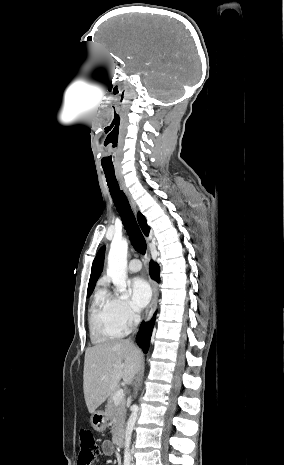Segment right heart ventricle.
<instances>
[{"instance_id": "1", "label": "right heart ventricle", "mask_w": 284, "mask_h": 465, "mask_svg": "<svg viewBox=\"0 0 284 465\" xmlns=\"http://www.w3.org/2000/svg\"><path fill=\"white\" fill-rule=\"evenodd\" d=\"M88 323L92 342L100 346L121 338L125 333V328L116 320L111 305L101 294L92 303Z\"/></svg>"}]
</instances>
